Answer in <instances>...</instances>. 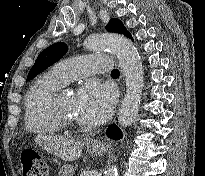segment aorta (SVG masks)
<instances>
[{
	"instance_id": "aorta-1",
	"label": "aorta",
	"mask_w": 205,
	"mask_h": 176,
	"mask_svg": "<svg viewBox=\"0 0 205 176\" xmlns=\"http://www.w3.org/2000/svg\"><path fill=\"white\" fill-rule=\"evenodd\" d=\"M85 47L91 51L109 49L118 59L126 82L118 123L122 128L130 126L137 117L144 85L143 67L136 47L124 36L113 33L92 35L86 39ZM107 176H117V168L113 166Z\"/></svg>"
}]
</instances>
